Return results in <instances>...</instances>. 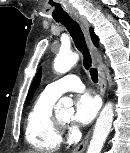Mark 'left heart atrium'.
I'll list each match as a JSON object with an SVG mask.
<instances>
[{"instance_id":"obj_1","label":"left heart atrium","mask_w":130,"mask_h":153,"mask_svg":"<svg viewBox=\"0 0 130 153\" xmlns=\"http://www.w3.org/2000/svg\"><path fill=\"white\" fill-rule=\"evenodd\" d=\"M99 109L100 101L96 95L89 92L80 94L75 101L72 120L80 124H88L96 117Z\"/></svg>"}]
</instances>
